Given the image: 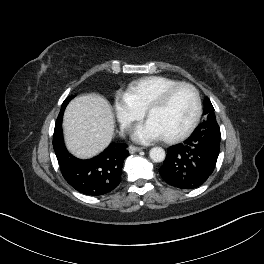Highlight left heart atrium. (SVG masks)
Segmentation results:
<instances>
[{"label":"left heart atrium","instance_id":"left-heart-atrium-1","mask_svg":"<svg viewBox=\"0 0 264 264\" xmlns=\"http://www.w3.org/2000/svg\"><path fill=\"white\" fill-rule=\"evenodd\" d=\"M135 140L140 142H150L162 138V134L159 129L150 121L140 124L133 132Z\"/></svg>","mask_w":264,"mask_h":264}]
</instances>
